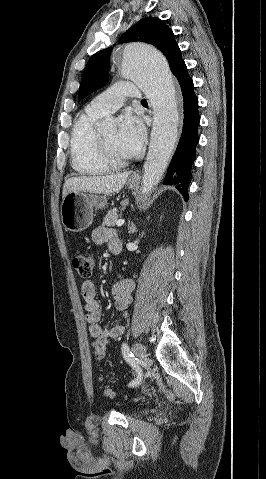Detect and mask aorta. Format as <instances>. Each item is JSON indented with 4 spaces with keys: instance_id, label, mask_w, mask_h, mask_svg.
Instances as JSON below:
<instances>
[{
    "instance_id": "762f6f07",
    "label": "aorta",
    "mask_w": 266,
    "mask_h": 479,
    "mask_svg": "<svg viewBox=\"0 0 266 479\" xmlns=\"http://www.w3.org/2000/svg\"><path fill=\"white\" fill-rule=\"evenodd\" d=\"M122 75L144 92L153 107L149 150L143 165V202L161 180L178 136L179 112L175 81L164 56L144 43L127 44L120 52ZM113 120L100 123L113 126Z\"/></svg>"
}]
</instances>
